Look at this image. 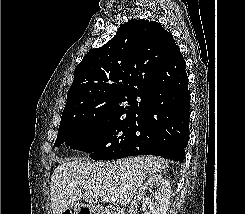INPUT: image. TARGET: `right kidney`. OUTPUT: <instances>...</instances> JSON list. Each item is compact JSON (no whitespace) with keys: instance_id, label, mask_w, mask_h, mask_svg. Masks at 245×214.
I'll return each instance as SVG.
<instances>
[{"instance_id":"obj_1","label":"right kidney","mask_w":245,"mask_h":214,"mask_svg":"<svg viewBox=\"0 0 245 214\" xmlns=\"http://www.w3.org/2000/svg\"><path fill=\"white\" fill-rule=\"evenodd\" d=\"M153 188H155V193L152 190ZM171 192V186L167 179L159 174L149 176L144 185L137 191L129 208V214H137L140 204L148 205L149 210L144 214H166ZM149 193H153L152 202L149 197H146Z\"/></svg>"}]
</instances>
